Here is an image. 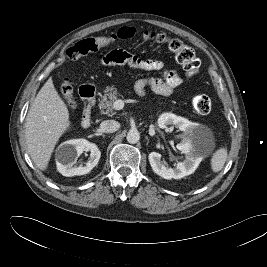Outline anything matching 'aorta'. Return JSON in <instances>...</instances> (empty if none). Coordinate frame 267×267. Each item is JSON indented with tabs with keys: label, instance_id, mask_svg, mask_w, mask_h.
<instances>
[{
	"label": "aorta",
	"instance_id": "obj_1",
	"mask_svg": "<svg viewBox=\"0 0 267 267\" xmlns=\"http://www.w3.org/2000/svg\"><path fill=\"white\" fill-rule=\"evenodd\" d=\"M126 139H127L128 143L136 144L140 139L139 131L137 129L129 130V132L127 133Z\"/></svg>",
	"mask_w": 267,
	"mask_h": 267
}]
</instances>
